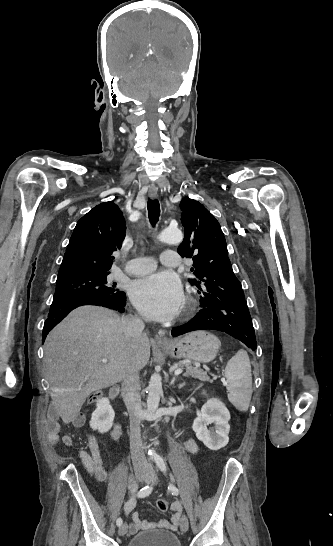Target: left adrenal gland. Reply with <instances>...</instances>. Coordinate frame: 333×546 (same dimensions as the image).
I'll use <instances>...</instances> for the list:
<instances>
[{"mask_svg":"<svg viewBox=\"0 0 333 546\" xmlns=\"http://www.w3.org/2000/svg\"><path fill=\"white\" fill-rule=\"evenodd\" d=\"M175 381V377L173 378V382ZM185 386V383H182L179 385V388H183Z\"/></svg>","mask_w":333,"mask_h":546,"instance_id":"left-adrenal-gland-1","label":"left adrenal gland"}]
</instances>
